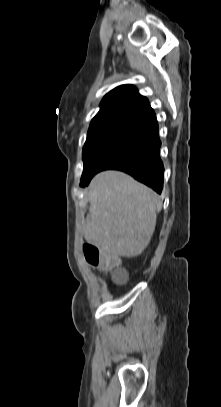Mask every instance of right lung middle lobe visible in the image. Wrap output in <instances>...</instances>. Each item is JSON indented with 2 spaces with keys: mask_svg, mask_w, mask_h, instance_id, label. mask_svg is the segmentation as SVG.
Instances as JSON below:
<instances>
[{
  "mask_svg": "<svg viewBox=\"0 0 221 407\" xmlns=\"http://www.w3.org/2000/svg\"><path fill=\"white\" fill-rule=\"evenodd\" d=\"M138 128L117 126L88 133L82 152L84 169L80 185L93 177L105 160Z\"/></svg>",
  "mask_w": 221,
  "mask_h": 407,
  "instance_id": "right-lung-middle-lobe-1",
  "label": "right lung middle lobe"
}]
</instances>
